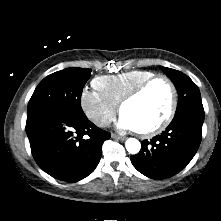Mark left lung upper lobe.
I'll return each instance as SVG.
<instances>
[{
	"label": "left lung upper lobe",
	"mask_w": 221,
	"mask_h": 221,
	"mask_svg": "<svg viewBox=\"0 0 221 221\" xmlns=\"http://www.w3.org/2000/svg\"><path fill=\"white\" fill-rule=\"evenodd\" d=\"M161 69L173 81L178 91V105L176 113L188 108H203L199 88L184 73L161 66Z\"/></svg>",
	"instance_id": "left-lung-upper-lobe-1"
}]
</instances>
